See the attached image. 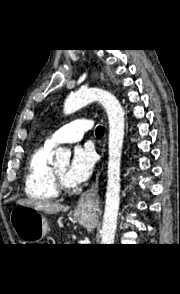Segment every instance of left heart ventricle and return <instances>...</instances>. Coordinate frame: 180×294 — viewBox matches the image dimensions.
Wrapping results in <instances>:
<instances>
[{
  "mask_svg": "<svg viewBox=\"0 0 180 294\" xmlns=\"http://www.w3.org/2000/svg\"><path fill=\"white\" fill-rule=\"evenodd\" d=\"M68 169V165L67 164H62L56 167L57 172L59 173V175L64 179V181L71 186V184L67 181L66 179V172Z\"/></svg>",
  "mask_w": 180,
  "mask_h": 294,
  "instance_id": "1",
  "label": "left heart ventricle"
}]
</instances>
